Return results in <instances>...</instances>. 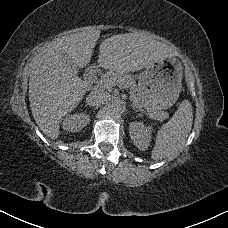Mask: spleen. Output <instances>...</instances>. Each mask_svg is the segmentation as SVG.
<instances>
[{
  "instance_id": "spleen-1",
  "label": "spleen",
  "mask_w": 228,
  "mask_h": 228,
  "mask_svg": "<svg viewBox=\"0 0 228 228\" xmlns=\"http://www.w3.org/2000/svg\"><path fill=\"white\" fill-rule=\"evenodd\" d=\"M193 124V108L188 99H183L171 120L158 128L151 159H175L189 136Z\"/></svg>"
}]
</instances>
